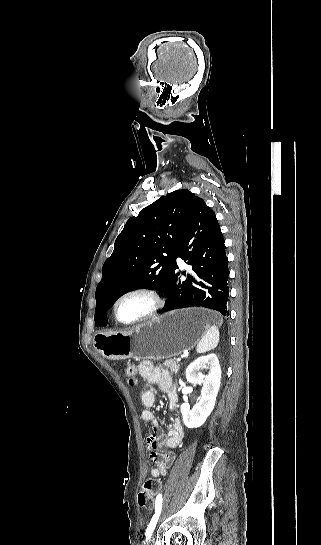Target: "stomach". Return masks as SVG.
<instances>
[{
	"label": "stomach",
	"mask_w": 321,
	"mask_h": 545,
	"mask_svg": "<svg viewBox=\"0 0 321 545\" xmlns=\"http://www.w3.org/2000/svg\"><path fill=\"white\" fill-rule=\"evenodd\" d=\"M208 309H179L155 317L126 333L97 331L94 347L106 359H170L191 351L216 319Z\"/></svg>",
	"instance_id": "obj_1"
}]
</instances>
